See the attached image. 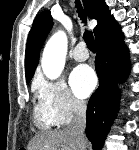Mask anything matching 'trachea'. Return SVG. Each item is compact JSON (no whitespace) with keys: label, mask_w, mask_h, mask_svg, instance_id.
<instances>
[{"label":"trachea","mask_w":139,"mask_h":150,"mask_svg":"<svg viewBox=\"0 0 139 150\" xmlns=\"http://www.w3.org/2000/svg\"><path fill=\"white\" fill-rule=\"evenodd\" d=\"M75 3H76L77 11L79 13V17L81 18V20H83V22H86L87 20L86 14L82 9L80 1L75 0ZM83 38L89 49H95L94 37L91 31H85Z\"/></svg>","instance_id":"3493384b"}]
</instances>
